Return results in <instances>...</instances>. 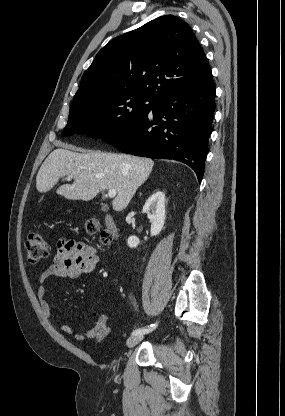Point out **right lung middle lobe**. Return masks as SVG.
<instances>
[{"mask_svg":"<svg viewBox=\"0 0 285 416\" xmlns=\"http://www.w3.org/2000/svg\"><path fill=\"white\" fill-rule=\"evenodd\" d=\"M155 104L143 97L128 96L71 110L61 135L85 134L105 139L130 128L147 116Z\"/></svg>","mask_w":285,"mask_h":416,"instance_id":"1","label":"right lung middle lobe"}]
</instances>
